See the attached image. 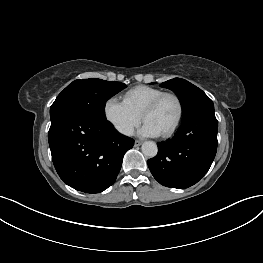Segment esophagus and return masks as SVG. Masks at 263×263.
<instances>
[{
	"label": "esophagus",
	"instance_id": "esophagus-1",
	"mask_svg": "<svg viewBox=\"0 0 263 263\" xmlns=\"http://www.w3.org/2000/svg\"><path fill=\"white\" fill-rule=\"evenodd\" d=\"M141 144H142V141H140V140H135V142H134L135 147L140 146Z\"/></svg>",
	"mask_w": 263,
	"mask_h": 263
}]
</instances>
